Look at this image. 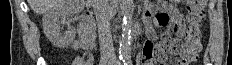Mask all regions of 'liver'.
<instances>
[{
	"mask_svg": "<svg viewBox=\"0 0 232 65\" xmlns=\"http://www.w3.org/2000/svg\"><path fill=\"white\" fill-rule=\"evenodd\" d=\"M63 0H28V4L36 14H45L52 7L57 6Z\"/></svg>",
	"mask_w": 232,
	"mask_h": 65,
	"instance_id": "6515ba94",
	"label": "liver"
}]
</instances>
